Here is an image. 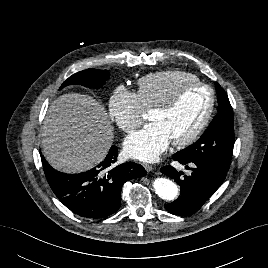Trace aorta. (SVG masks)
<instances>
[{"instance_id":"762f6f07","label":"aorta","mask_w":268,"mask_h":268,"mask_svg":"<svg viewBox=\"0 0 268 268\" xmlns=\"http://www.w3.org/2000/svg\"><path fill=\"white\" fill-rule=\"evenodd\" d=\"M155 193L164 200H174L178 193V186L167 178H156L153 181Z\"/></svg>"}]
</instances>
